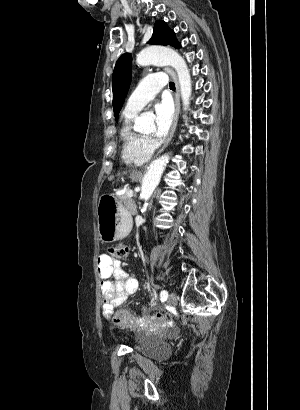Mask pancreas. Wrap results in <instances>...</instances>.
Listing matches in <instances>:
<instances>
[{
    "label": "pancreas",
    "instance_id": "cf45deb5",
    "mask_svg": "<svg viewBox=\"0 0 300 410\" xmlns=\"http://www.w3.org/2000/svg\"><path fill=\"white\" fill-rule=\"evenodd\" d=\"M127 192L125 194L118 196V198L121 202H123L124 206L134 215L137 213V208L134 203V200L131 197L127 196Z\"/></svg>",
    "mask_w": 300,
    "mask_h": 410
}]
</instances>
